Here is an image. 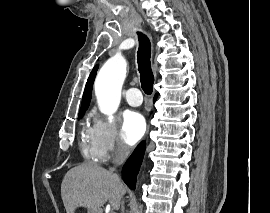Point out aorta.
<instances>
[{"label": "aorta", "instance_id": "aorta-1", "mask_svg": "<svg viewBox=\"0 0 270 213\" xmlns=\"http://www.w3.org/2000/svg\"><path fill=\"white\" fill-rule=\"evenodd\" d=\"M126 60L116 55L110 58L100 69L95 81V93L102 113L113 121L121 100V88L126 77Z\"/></svg>", "mask_w": 270, "mask_h": 213}]
</instances>
